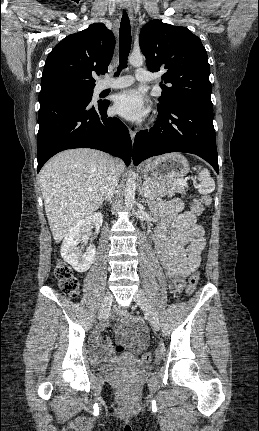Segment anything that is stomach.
I'll use <instances>...</instances> for the list:
<instances>
[{
    "label": "stomach",
    "mask_w": 259,
    "mask_h": 431,
    "mask_svg": "<svg viewBox=\"0 0 259 431\" xmlns=\"http://www.w3.org/2000/svg\"><path fill=\"white\" fill-rule=\"evenodd\" d=\"M190 170L188 160L180 153H169L147 162L141 168L142 177L148 180H173Z\"/></svg>",
    "instance_id": "0dacf381"
}]
</instances>
